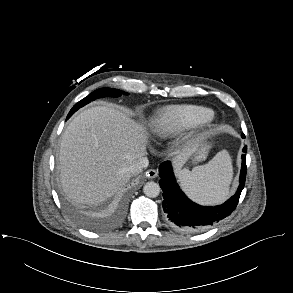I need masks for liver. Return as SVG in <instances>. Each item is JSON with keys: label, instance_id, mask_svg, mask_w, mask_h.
Masks as SVG:
<instances>
[{"label": "liver", "instance_id": "6515ba94", "mask_svg": "<svg viewBox=\"0 0 293 293\" xmlns=\"http://www.w3.org/2000/svg\"><path fill=\"white\" fill-rule=\"evenodd\" d=\"M145 128L123 112L96 106L79 113L63 133L60 178L67 196L78 204H98L122 190L130 166L146 154ZM199 146L189 142L172 153L180 171Z\"/></svg>", "mask_w": 293, "mask_h": 293}]
</instances>
